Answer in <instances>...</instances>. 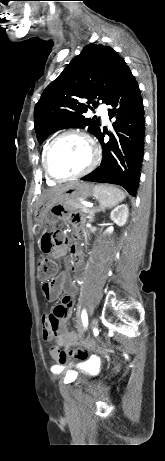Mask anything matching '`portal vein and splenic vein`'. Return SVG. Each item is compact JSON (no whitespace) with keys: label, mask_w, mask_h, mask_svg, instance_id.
Listing matches in <instances>:
<instances>
[{"label":"portal vein and splenic vein","mask_w":165,"mask_h":461,"mask_svg":"<svg viewBox=\"0 0 165 461\" xmlns=\"http://www.w3.org/2000/svg\"><path fill=\"white\" fill-rule=\"evenodd\" d=\"M82 205L84 206V210L86 209V211L87 209H90L93 206V204L90 202H82Z\"/></svg>","instance_id":"18ae733b"}]
</instances>
